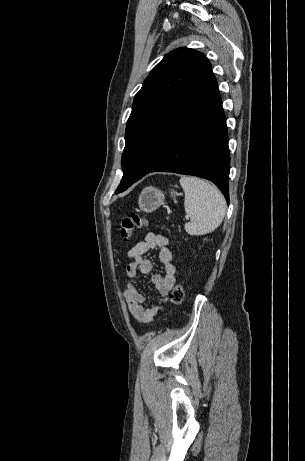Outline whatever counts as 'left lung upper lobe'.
Masks as SVG:
<instances>
[{
    "instance_id": "left-lung-upper-lobe-1",
    "label": "left lung upper lobe",
    "mask_w": 305,
    "mask_h": 461,
    "mask_svg": "<svg viewBox=\"0 0 305 461\" xmlns=\"http://www.w3.org/2000/svg\"><path fill=\"white\" fill-rule=\"evenodd\" d=\"M210 68L202 53L189 48L173 50L154 67L134 98L121 159L123 177L115 193L147 172L158 133Z\"/></svg>"
}]
</instances>
